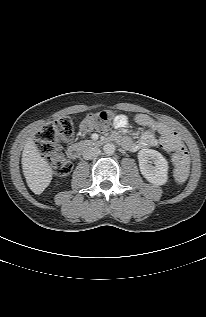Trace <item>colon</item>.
I'll use <instances>...</instances> for the list:
<instances>
[{"mask_svg":"<svg viewBox=\"0 0 206 317\" xmlns=\"http://www.w3.org/2000/svg\"><path fill=\"white\" fill-rule=\"evenodd\" d=\"M116 118L111 110H103L87 115L82 122L85 131H104ZM74 133L73 122L68 116H63L49 123L36 134L39 150L48 161L53 173L58 177L66 176L72 167L71 161L61 150V146L72 140ZM163 148L173 153L174 176L178 182H183L189 173L190 157L181 138L170 134L161 141Z\"/></svg>","mask_w":206,"mask_h":317,"instance_id":"colon-1","label":"colon"}]
</instances>
